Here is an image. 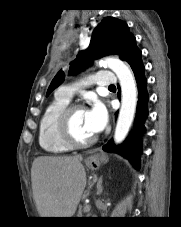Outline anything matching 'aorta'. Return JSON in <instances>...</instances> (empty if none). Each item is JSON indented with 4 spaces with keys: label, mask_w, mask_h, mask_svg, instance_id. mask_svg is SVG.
I'll return each mask as SVG.
<instances>
[{
    "label": "aorta",
    "mask_w": 181,
    "mask_h": 227,
    "mask_svg": "<svg viewBox=\"0 0 181 227\" xmlns=\"http://www.w3.org/2000/svg\"><path fill=\"white\" fill-rule=\"evenodd\" d=\"M103 63L117 75L121 86V109L114 134V141L119 144L125 139L134 118L137 87L131 70L124 62L117 58H107Z\"/></svg>",
    "instance_id": "obj_1"
}]
</instances>
